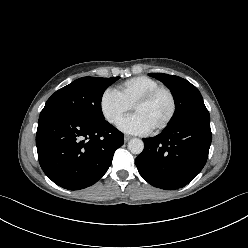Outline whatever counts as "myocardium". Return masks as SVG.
Here are the masks:
<instances>
[{
	"mask_svg": "<svg viewBox=\"0 0 248 248\" xmlns=\"http://www.w3.org/2000/svg\"><path fill=\"white\" fill-rule=\"evenodd\" d=\"M161 93H166L168 95L171 103V108L167 118L159 126L151 130L153 134L159 133L162 130H164L172 122L175 116L177 103H176L175 95L172 92V90L167 87L160 86L140 97L132 106V110H134L138 106L145 105L151 102L156 96H158Z\"/></svg>",
	"mask_w": 248,
	"mask_h": 248,
	"instance_id": "myocardium-1",
	"label": "myocardium"
}]
</instances>
